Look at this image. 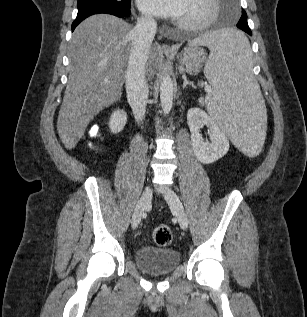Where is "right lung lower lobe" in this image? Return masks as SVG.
I'll list each match as a JSON object with an SVG mask.
<instances>
[{"mask_svg": "<svg viewBox=\"0 0 307 317\" xmlns=\"http://www.w3.org/2000/svg\"><path fill=\"white\" fill-rule=\"evenodd\" d=\"M94 14H111L117 17H128L130 15V5L119 9L103 5H89L79 8L77 17L72 23V31H74V29L81 21Z\"/></svg>", "mask_w": 307, "mask_h": 317, "instance_id": "1", "label": "right lung lower lobe"}]
</instances>
